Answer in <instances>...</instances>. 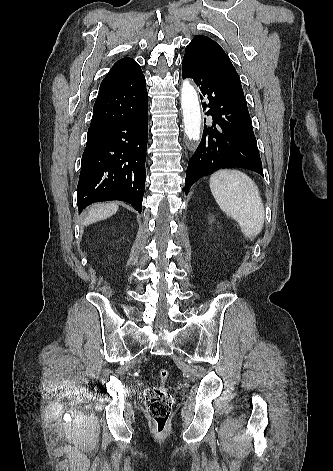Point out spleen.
I'll return each mask as SVG.
<instances>
[{"label": "spleen", "instance_id": "1", "mask_svg": "<svg viewBox=\"0 0 333 471\" xmlns=\"http://www.w3.org/2000/svg\"><path fill=\"white\" fill-rule=\"evenodd\" d=\"M210 189L220 209L234 219L246 238L262 230L265 211L259 189L239 170H219L210 177Z\"/></svg>", "mask_w": 333, "mask_h": 471}]
</instances>
